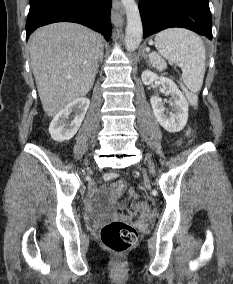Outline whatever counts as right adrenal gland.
Listing matches in <instances>:
<instances>
[{
	"label": "right adrenal gland",
	"mask_w": 233,
	"mask_h": 284,
	"mask_svg": "<svg viewBox=\"0 0 233 284\" xmlns=\"http://www.w3.org/2000/svg\"><path fill=\"white\" fill-rule=\"evenodd\" d=\"M102 62H103V49H102V52H101V55H100V59H99V63H102ZM98 67H99V64H98ZM97 72H98V69H97Z\"/></svg>",
	"instance_id": "obj_1"
}]
</instances>
